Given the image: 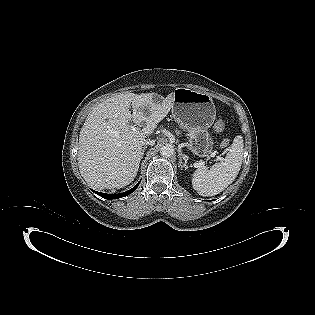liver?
Returning <instances> with one entry per match:
<instances>
[{
  "label": "liver",
  "instance_id": "6515ba94",
  "mask_svg": "<svg viewBox=\"0 0 315 315\" xmlns=\"http://www.w3.org/2000/svg\"><path fill=\"white\" fill-rule=\"evenodd\" d=\"M154 97L152 93L125 92L92 108L81 128L78 150L79 170L89 185L120 189L134 180L142 159V141L173 106V93L161 101ZM143 109H148L147 115ZM130 121L145 126L132 130Z\"/></svg>",
  "mask_w": 315,
  "mask_h": 315
}]
</instances>
